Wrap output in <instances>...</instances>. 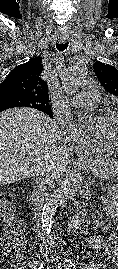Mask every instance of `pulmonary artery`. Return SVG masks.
Masks as SVG:
<instances>
[{
  "mask_svg": "<svg viewBox=\"0 0 118 269\" xmlns=\"http://www.w3.org/2000/svg\"><path fill=\"white\" fill-rule=\"evenodd\" d=\"M99 97V85L95 79L89 78L83 83V90L71 98L75 105L88 104L96 101Z\"/></svg>",
  "mask_w": 118,
  "mask_h": 269,
  "instance_id": "obj_1",
  "label": "pulmonary artery"
}]
</instances>
